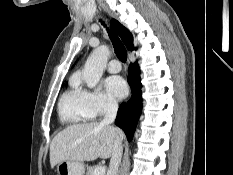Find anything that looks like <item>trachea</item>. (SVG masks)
Masks as SVG:
<instances>
[{
    "label": "trachea",
    "instance_id": "obj_1",
    "mask_svg": "<svg viewBox=\"0 0 233 175\" xmlns=\"http://www.w3.org/2000/svg\"><path fill=\"white\" fill-rule=\"evenodd\" d=\"M102 24H104L102 22ZM109 33V37L111 39V42L113 44L115 53L117 55V57L122 61V62H126L127 60V51L125 46L123 45V43L121 42V40L118 38V36L111 31H108Z\"/></svg>",
    "mask_w": 233,
    "mask_h": 175
}]
</instances>
